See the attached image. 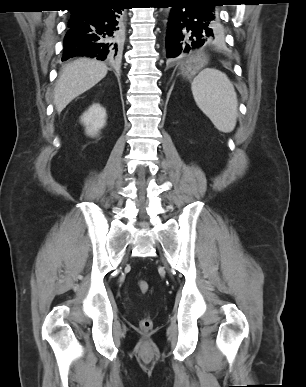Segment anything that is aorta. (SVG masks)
Here are the masks:
<instances>
[{"label": "aorta", "mask_w": 306, "mask_h": 387, "mask_svg": "<svg viewBox=\"0 0 306 387\" xmlns=\"http://www.w3.org/2000/svg\"><path fill=\"white\" fill-rule=\"evenodd\" d=\"M167 11L169 12V11H170V8H168Z\"/></svg>", "instance_id": "1"}]
</instances>
